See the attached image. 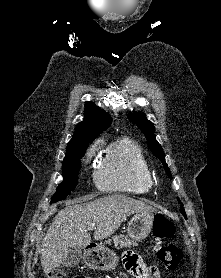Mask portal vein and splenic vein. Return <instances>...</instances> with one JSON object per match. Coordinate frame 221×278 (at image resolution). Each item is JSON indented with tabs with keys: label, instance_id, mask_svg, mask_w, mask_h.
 Returning <instances> with one entry per match:
<instances>
[{
	"label": "portal vein and splenic vein",
	"instance_id": "1",
	"mask_svg": "<svg viewBox=\"0 0 221 278\" xmlns=\"http://www.w3.org/2000/svg\"><path fill=\"white\" fill-rule=\"evenodd\" d=\"M95 228V224H90L89 226H88V230H92V229H94Z\"/></svg>",
	"mask_w": 221,
	"mask_h": 278
}]
</instances>
